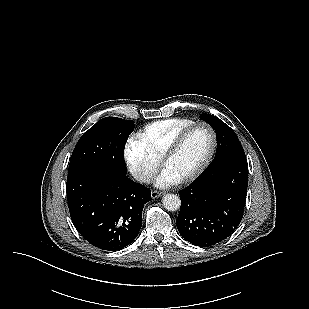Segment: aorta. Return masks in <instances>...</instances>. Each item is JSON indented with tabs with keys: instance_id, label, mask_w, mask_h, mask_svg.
<instances>
[{
	"instance_id": "obj_1",
	"label": "aorta",
	"mask_w": 309,
	"mask_h": 309,
	"mask_svg": "<svg viewBox=\"0 0 309 309\" xmlns=\"http://www.w3.org/2000/svg\"><path fill=\"white\" fill-rule=\"evenodd\" d=\"M162 203L168 211H176L181 205L180 198L175 194H166L162 199Z\"/></svg>"
}]
</instances>
